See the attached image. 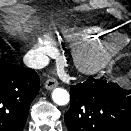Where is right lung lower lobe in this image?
Returning a JSON list of instances; mask_svg holds the SVG:
<instances>
[{"label":"right lung lower lobe","instance_id":"obj_1","mask_svg":"<svg viewBox=\"0 0 131 131\" xmlns=\"http://www.w3.org/2000/svg\"><path fill=\"white\" fill-rule=\"evenodd\" d=\"M40 90L38 74L0 60V131H22Z\"/></svg>","mask_w":131,"mask_h":131}]
</instances>
